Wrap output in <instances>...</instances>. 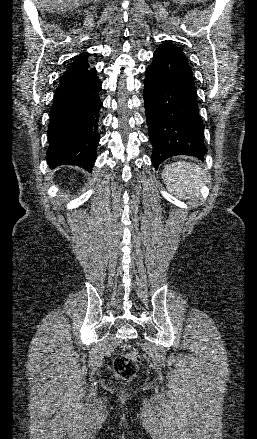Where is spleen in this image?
I'll return each instance as SVG.
<instances>
[{
	"label": "spleen",
	"instance_id": "spleen-1",
	"mask_svg": "<svg viewBox=\"0 0 257 439\" xmlns=\"http://www.w3.org/2000/svg\"><path fill=\"white\" fill-rule=\"evenodd\" d=\"M162 178L168 190L180 199H188L199 193L206 176L196 164L179 161L167 165Z\"/></svg>",
	"mask_w": 257,
	"mask_h": 439
}]
</instances>
